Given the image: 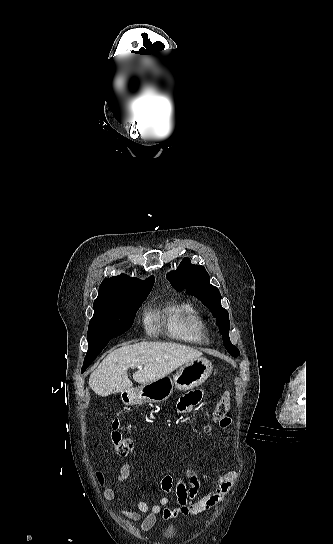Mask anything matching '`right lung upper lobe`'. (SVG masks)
<instances>
[{"label":"right lung upper lobe","mask_w":333,"mask_h":544,"mask_svg":"<svg viewBox=\"0 0 333 544\" xmlns=\"http://www.w3.org/2000/svg\"><path fill=\"white\" fill-rule=\"evenodd\" d=\"M154 281V276L145 280H140L138 278L129 277L126 274L106 278L100 284L99 294L94 303L141 294L151 290Z\"/></svg>","instance_id":"1"}]
</instances>
